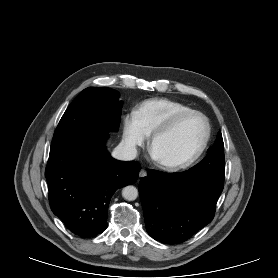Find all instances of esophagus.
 <instances>
[{
	"label": "esophagus",
	"instance_id": "esophagus-1",
	"mask_svg": "<svg viewBox=\"0 0 278 278\" xmlns=\"http://www.w3.org/2000/svg\"><path fill=\"white\" fill-rule=\"evenodd\" d=\"M146 176H147V172H146L144 169L140 170V172H139V178H144V177H146Z\"/></svg>",
	"mask_w": 278,
	"mask_h": 278
}]
</instances>
